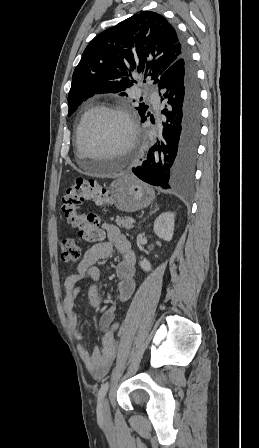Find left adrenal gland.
Returning a JSON list of instances; mask_svg holds the SVG:
<instances>
[{
  "label": "left adrenal gland",
  "instance_id": "left-adrenal-gland-1",
  "mask_svg": "<svg viewBox=\"0 0 259 448\" xmlns=\"http://www.w3.org/2000/svg\"><path fill=\"white\" fill-rule=\"evenodd\" d=\"M157 210H159V208H157V206H156V210H154V212H157ZM154 212H150V216H151V214H154Z\"/></svg>",
  "mask_w": 259,
  "mask_h": 448
}]
</instances>
